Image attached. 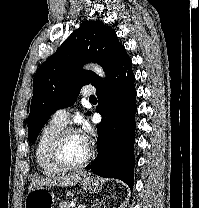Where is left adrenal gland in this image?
<instances>
[{"instance_id": "1", "label": "left adrenal gland", "mask_w": 199, "mask_h": 208, "mask_svg": "<svg viewBox=\"0 0 199 208\" xmlns=\"http://www.w3.org/2000/svg\"><path fill=\"white\" fill-rule=\"evenodd\" d=\"M102 203H103V200H101V202L99 200H95L94 204L91 206V208H93L95 206H98V205H101Z\"/></svg>"}]
</instances>
